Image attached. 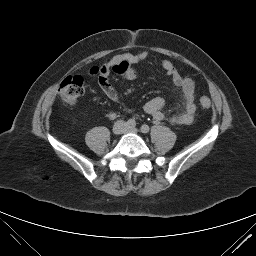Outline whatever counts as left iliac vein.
Returning a JSON list of instances; mask_svg holds the SVG:
<instances>
[{
  "label": "left iliac vein",
  "instance_id": "1",
  "mask_svg": "<svg viewBox=\"0 0 256 256\" xmlns=\"http://www.w3.org/2000/svg\"><path fill=\"white\" fill-rule=\"evenodd\" d=\"M125 132H126V133H137V132H138V129L135 128V127H126V128H125Z\"/></svg>",
  "mask_w": 256,
  "mask_h": 256
}]
</instances>
